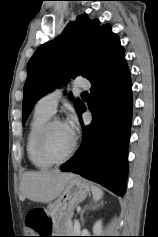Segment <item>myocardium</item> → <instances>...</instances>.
<instances>
[{"mask_svg":"<svg viewBox=\"0 0 158 237\" xmlns=\"http://www.w3.org/2000/svg\"><path fill=\"white\" fill-rule=\"evenodd\" d=\"M57 123H62V121L58 118H52L48 120L45 125L42 127L38 137H37V151L39 155L46 160L47 162L51 164H59L67 161L72 157L76 150L77 142L76 139L73 138L72 145L68 152L63 155L62 157H55L52 155L48 149L47 141H48V136L50 134V131L52 127L57 124Z\"/></svg>","mask_w":158,"mask_h":237,"instance_id":"obj_1","label":"myocardium"}]
</instances>
